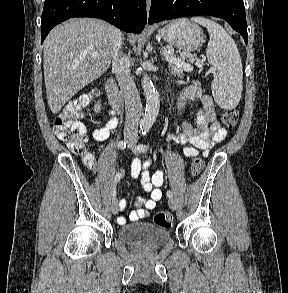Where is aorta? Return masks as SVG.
Segmentation results:
<instances>
[{"label": "aorta", "mask_w": 288, "mask_h": 293, "mask_svg": "<svg viewBox=\"0 0 288 293\" xmlns=\"http://www.w3.org/2000/svg\"><path fill=\"white\" fill-rule=\"evenodd\" d=\"M141 85L146 99V108L143 118L140 121L142 130H149L155 122L160 108V97L153 82L147 74L141 79Z\"/></svg>", "instance_id": "aorta-1"}]
</instances>
